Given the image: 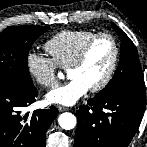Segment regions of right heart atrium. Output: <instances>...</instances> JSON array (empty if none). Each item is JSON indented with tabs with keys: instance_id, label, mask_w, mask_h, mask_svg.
Returning a JSON list of instances; mask_svg holds the SVG:
<instances>
[{
	"instance_id": "right-heart-atrium-1",
	"label": "right heart atrium",
	"mask_w": 147,
	"mask_h": 147,
	"mask_svg": "<svg viewBox=\"0 0 147 147\" xmlns=\"http://www.w3.org/2000/svg\"><path fill=\"white\" fill-rule=\"evenodd\" d=\"M26 70L31 79L42 87H53L57 82L58 66L48 56L29 51L25 58Z\"/></svg>"
}]
</instances>
